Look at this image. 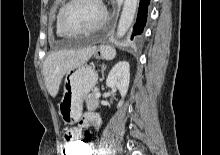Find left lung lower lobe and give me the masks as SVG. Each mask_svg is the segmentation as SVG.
<instances>
[{"mask_svg": "<svg viewBox=\"0 0 220 155\" xmlns=\"http://www.w3.org/2000/svg\"><path fill=\"white\" fill-rule=\"evenodd\" d=\"M149 3L150 0H140L137 21L134 25L133 33L131 36V40H133L134 42L139 41L140 35L143 32V28L146 24Z\"/></svg>", "mask_w": 220, "mask_h": 155, "instance_id": "1", "label": "left lung lower lobe"}]
</instances>
